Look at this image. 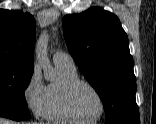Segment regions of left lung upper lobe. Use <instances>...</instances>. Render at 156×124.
<instances>
[{"mask_svg":"<svg viewBox=\"0 0 156 124\" xmlns=\"http://www.w3.org/2000/svg\"><path fill=\"white\" fill-rule=\"evenodd\" d=\"M62 23L70 54L103 102L106 124H139L133 58L117 16L93 7Z\"/></svg>","mask_w":156,"mask_h":124,"instance_id":"5c2ea615","label":"left lung upper lobe"}]
</instances>
